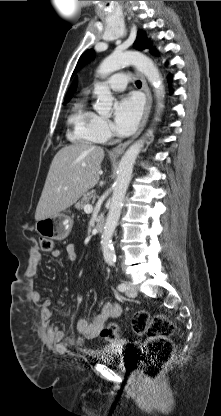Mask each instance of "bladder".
Wrapping results in <instances>:
<instances>
[{
  "instance_id": "bladder-1",
  "label": "bladder",
  "mask_w": 221,
  "mask_h": 416,
  "mask_svg": "<svg viewBox=\"0 0 221 416\" xmlns=\"http://www.w3.org/2000/svg\"><path fill=\"white\" fill-rule=\"evenodd\" d=\"M114 357L113 352L111 351V347L106 346L104 348L103 359L102 361L106 364H113L112 359ZM117 367H120L119 365ZM123 367V366H122Z\"/></svg>"
}]
</instances>
